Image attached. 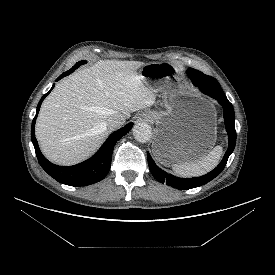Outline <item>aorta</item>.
<instances>
[{"mask_svg":"<svg viewBox=\"0 0 275 275\" xmlns=\"http://www.w3.org/2000/svg\"><path fill=\"white\" fill-rule=\"evenodd\" d=\"M133 135L137 141L146 143L152 136V128L146 122L137 123L133 127Z\"/></svg>","mask_w":275,"mask_h":275,"instance_id":"1","label":"aorta"}]
</instances>
